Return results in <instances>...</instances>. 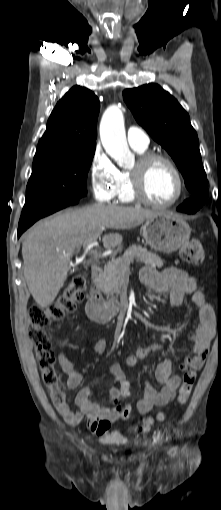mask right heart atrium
<instances>
[{
  "label": "right heart atrium",
  "mask_w": 221,
  "mask_h": 510,
  "mask_svg": "<svg viewBox=\"0 0 221 510\" xmlns=\"http://www.w3.org/2000/svg\"><path fill=\"white\" fill-rule=\"evenodd\" d=\"M90 184L95 199L110 203L117 195L120 174L117 167L100 147H96L89 168Z\"/></svg>",
  "instance_id": "right-heart-atrium-1"
}]
</instances>
